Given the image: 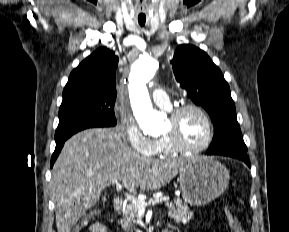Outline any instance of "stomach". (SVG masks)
<instances>
[{"label":"stomach","mask_w":289,"mask_h":232,"mask_svg":"<svg viewBox=\"0 0 289 232\" xmlns=\"http://www.w3.org/2000/svg\"><path fill=\"white\" fill-rule=\"evenodd\" d=\"M229 171L208 157L191 158L179 172L182 197L190 205L201 206L210 203L227 189Z\"/></svg>","instance_id":"1"}]
</instances>
